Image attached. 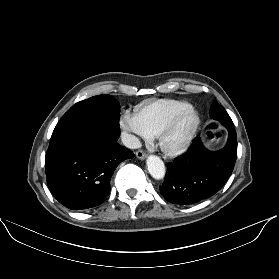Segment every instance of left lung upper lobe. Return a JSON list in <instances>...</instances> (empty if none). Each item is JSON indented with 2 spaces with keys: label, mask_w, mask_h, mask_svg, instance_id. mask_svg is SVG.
<instances>
[{
  "label": "left lung upper lobe",
  "mask_w": 279,
  "mask_h": 279,
  "mask_svg": "<svg viewBox=\"0 0 279 279\" xmlns=\"http://www.w3.org/2000/svg\"><path fill=\"white\" fill-rule=\"evenodd\" d=\"M211 117L214 120H218L222 125H225L226 122H231L232 120L223 106L219 105L215 100L210 108Z\"/></svg>",
  "instance_id": "5c2ea615"
}]
</instances>
